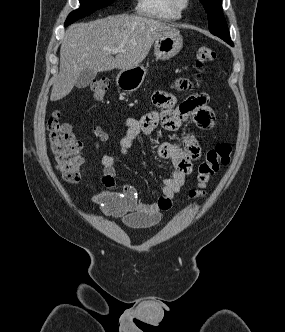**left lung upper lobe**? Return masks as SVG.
I'll return each instance as SVG.
<instances>
[{
  "mask_svg": "<svg viewBox=\"0 0 285 332\" xmlns=\"http://www.w3.org/2000/svg\"><path fill=\"white\" fill-rule=\"evenodd\" d=\"M209 19V30L225 42H231L226 20L223 16L221 0H200Z\"/></svg>",
  "mask_w": 285,
  "mask_h": 332,
  "instance_id": "1",
  "label": "left lung upper lobe"
}]
</instances>
